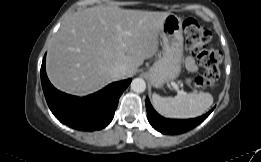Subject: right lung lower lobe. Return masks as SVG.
<instances>
[{
  "instance_id": "right-lung-lower-lobe-1",
  "label": "right lung lower lobe",
  "mask_w": 261,
  "mask_h": 162,
  "mask_svg": "<svg viewBox=\"0 0 261 162\" xmlns=\"http://www.w3.org/2000/svg\"><path fill=\"white\" fill-rule=\"evenodd\" d=\"M131 79L114 82L86 97L60 92L50 83L45 71V57L41 66V83L47 104L63 124L80 131L105 128L113 119L119 98Z\"/></svg>"
}]
</instances>
